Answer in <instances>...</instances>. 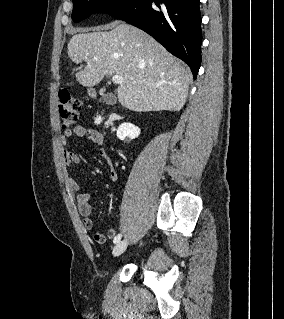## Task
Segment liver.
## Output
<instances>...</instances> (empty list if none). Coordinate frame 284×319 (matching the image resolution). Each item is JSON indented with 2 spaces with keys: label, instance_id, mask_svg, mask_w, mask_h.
Segmentation results:
<instances>
[{
  "label": "liver",
  "instance_id": "obj_1",
  "mask_svg": "<svg viewBox=\"0 0 284 319\" xmlns=\"http://www.w3.org/2000/svg\"><path fill=\"white\" fill-rule=\"evenodd\" d=\"M68 43V56L76 64L86 62L76 73L86 87L107 75L122 76L115 93L119 102L137 112L179 111L188 96L190 71L144 31L126 24L110 31L79 30Z\"/></svg>",
  "mask_w": 284,
  "mask_h": 319
}]
</instances>
